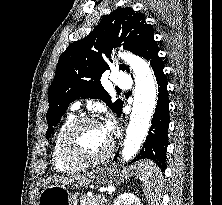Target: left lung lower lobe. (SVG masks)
<instances>
[{"instance_id":"1","label":"left lung lower lobe","mask_w":222,"mask_h":205,"mask_svg":"<svg viewBox=\"0 0 222 205\" xmlns=\"http://www.w3.org/2000/svg\"><path fill=\"white\" fill-rule=\"evenodd\" d=\"M158 52L159 48L154 40V34H152L147 39L140 56L150 61L158 83L159 94L149 134L143 149L140 151L137 158L134 159V162L140 159L150 158L154 160L163 171L166 167V149L168 146L169 98L167 91L168 81L166 75L163 73L164 63L158 56ZM121 113L122 110L118 116H120ZM116 159L117 154L114 160Z\"/></svg>"}]
</instances>
